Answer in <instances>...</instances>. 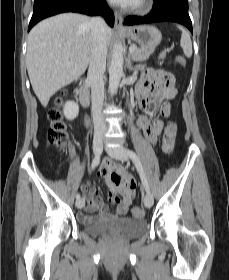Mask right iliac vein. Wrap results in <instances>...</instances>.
Instances as JSON below:
<instances>
[{
  "label": "right iliac vein",
  "mask_w": 229,
  "mask_h": 280,
  "mask_svg": "<svg viewBox=\"0 0 229 280\" xmlns=\"http://www.w3.org/2000/svg\"><path fill=\"white\" fill-rule=\"evenodd\" d=\"M103 150V141L102 140H94L93 142V151L96 156H99ZM85 205V200L83 198L76 201V207L78 209L83 208Z\"/></svg>",
  "instance_id": "63e3f726"
}]
</instances>
